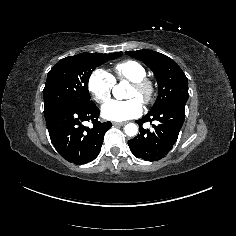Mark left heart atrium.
Segmentation results:
<instances>
[{
    "mask_svg": "<svg viewBox=\"0 0 236 236\" xmlns=\"http://www.w3.org/2000/svg\"><path fill=\"white\" fill-rule=\"evenodd\" d=\"M143 105L139 100L111 101L102 109L104 119L111 121H126L141 115Z\"/></svg>",
    "mask_w": 236,
    "mask_h": 236,
    "instance_id": "left-heart-atrium-1",
    "label": "left heart atrium"
}]
</instances>
